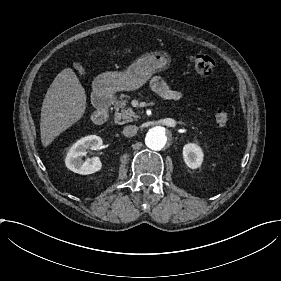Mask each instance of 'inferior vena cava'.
I'll return each mask as SVG.
<instances>
[{"mask_svg":"<svg viewBox=\"0 0 281 281\" xmlns=\"http://www.w3.org/2000/svg\"><path fill=\"white\" fill-rule=\"evenodd\" d=\"M138 131V127L135 125H129V126H125L123 129V135L126 137H132L134 136Z\"/></svg>","mask_w":281,"mask_h":281,"instance_id":"inferior-vena-cava-1","label":"inferior vena cava"}]
</instances>
